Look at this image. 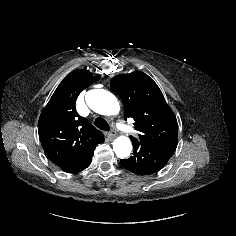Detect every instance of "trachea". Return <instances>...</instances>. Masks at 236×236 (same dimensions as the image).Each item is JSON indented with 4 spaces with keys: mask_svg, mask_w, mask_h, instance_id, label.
Wrapping results in <instances>:
<instances>
[{
    "mask_svg": "<svg viewBox=\"0 0 236 236\" xmlns=\"http://www.w3.org/2000/svg\"><path fill=\"white\" fill-rule=\"evenodd\" d=\"M94 124L100 130H104V131H109L110 130L108 122L106 120H104L103 118H101V117L96 118Z\"/></svg>",
    "mask_w": 236,
    "mask_h": 236,
    "instance_id": "3493384b",
    "label": "trachea"
}]
</instances>
